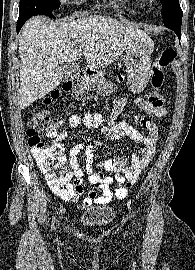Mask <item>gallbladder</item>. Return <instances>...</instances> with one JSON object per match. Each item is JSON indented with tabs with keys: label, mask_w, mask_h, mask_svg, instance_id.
Listing matches in <instances>:
<instances>
[{
	"label": "gallbladder",
	"mask_w": 195,
	"mask_h": 270,
	"mask_svg": "<svg viewBox=\"0 0 195 270\" xmlns=\"http://www.w3.org/2000/svg\"><path fill=\"white\" fill-rule=\"evenodd\" d=\"M62 81L73 80L80 75L79 66L76 63H61Z\"/></svg>",
	"instance_id": "bac80fb5"
}]
</instances>
